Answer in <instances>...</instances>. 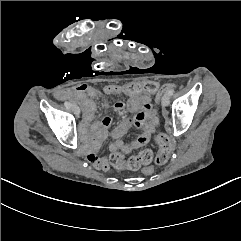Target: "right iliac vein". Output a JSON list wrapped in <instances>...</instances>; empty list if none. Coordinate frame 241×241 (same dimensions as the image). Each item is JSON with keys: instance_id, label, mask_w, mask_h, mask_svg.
<instances>
[{"instance_id": "63e3f726", "label": "right iliac vein", "mask_w": 241, "mask_h": 241, "mask_svg": "<svg viewBox=\"0 0 241 241\" xmlns=\"http://www.w3.org/2000/svg\"><path fill=\"white\" fill-rule=\"evenodd\" d=\"M71 109L76 116H79L80 108L78 107V105H76V104L72 105Z\"/></svg>"}]
</instances>
